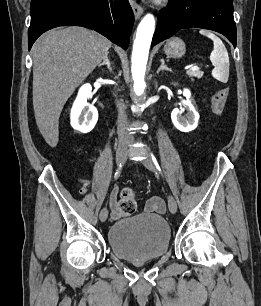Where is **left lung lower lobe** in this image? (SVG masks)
Listing matches in <instances>:
<instances>
[{
    "instance_id": "1",
    "label": "left lung lower lobe",
    "mask_w": 261,
    "mask_h": 306,
    "mask_svg": "<svg viewBox=\"0 0 261 306\" xmlns=\"http://www.w3.org/2000/svg\"><path fill=\"white\" fill-rule=\"evenodd\" d=\"M152 45L185 28H203L223 34L236 47L232 0H170L158 14Z\"/></svg>"
}]
</instances>
